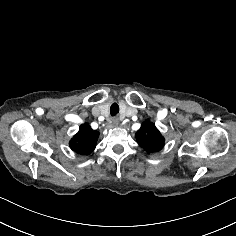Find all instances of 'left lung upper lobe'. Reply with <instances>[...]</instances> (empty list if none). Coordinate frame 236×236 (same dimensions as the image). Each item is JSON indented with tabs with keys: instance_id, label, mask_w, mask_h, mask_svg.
Segmentation results:
<instances>
[{
	"instance_id": "1",
	"label": "left lung upper lobe",
	"mask_w": 236,
	"mask_h": 236,
	"mask_svg": "<svg viewBox=\"0 0 236 236\" xmlns=\"http://www.w3.org/2000/svg\"><path fill=\"white\" fill-rule=\"evenodd\" d=\"M136 140L139 145L148 153L157 152L164 146V138L156 126L145 121L136 132Z\"/></svg>"
}]
</instances>
